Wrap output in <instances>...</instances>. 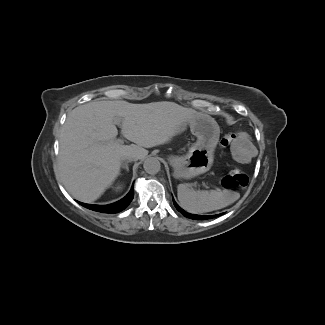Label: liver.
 I'll return each mask as SVG.
<instances>
[{
  "instance_id": "1",
  "label": "liver",
  "mask_w": 325,
  "mask_h": 325,
  "mask_svg": "<svg viewBox=\"0 0 325 325\" xmlns=\"http://www.w3.org/2000/svg\"><path fill=\"white\" fill-rule=\"evenodd\" d=\"M194 112L169 101L131 104L101 100L77 106L59 134L55 175L76 200L95 201L118 176L121 157L127 150L146 154L142 147L164 143L173 135L174 125ZM115 120L119 121L121 136L137 145L115 141Z\"/></svg>"
}]
</instances>
